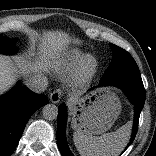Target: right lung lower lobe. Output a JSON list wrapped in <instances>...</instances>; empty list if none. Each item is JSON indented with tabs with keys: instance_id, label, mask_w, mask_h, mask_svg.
Instances as JSON below:
<instances>
[{
	"instance_id": "98d812e1",
	"label": "right lung lower lobe",
	"mask_w": 156,
	"mask_h": 156,
	"mask_svg": "<svg viewBox=\"0 0 156 156\" xmlns=\"http://www.w3.org/2000/svg\"><path fill=\"white\" fill-rule=\"evenodd\" d=\"M47 102L46 96L23 86L0 99V156L11 155L30 116Z\"/></svg>"
}]
</instances>
